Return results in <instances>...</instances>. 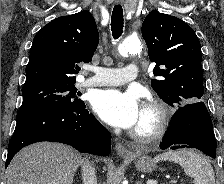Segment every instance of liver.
Wrapping results in <instances>:
<instances>
[{
  "label": "liver",
  "instance_id": "1",
  "mask_svg": "<svg viewBox=\"0 0 224 184\" xmlns=\"http://www.w3.org/2000/svg\"><path fill=\"white\" fill-rule=\"evenodd\" d=\"M81 163L73 148L39 142L19 151L7 168V184H73Z\"/></svg>",
  "mask_w": 224,
  "mask_h": 184
}]
</instances>
